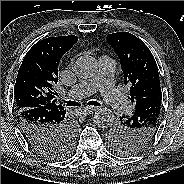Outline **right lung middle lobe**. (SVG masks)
Returning <instances> with one entry per match:
<instances>
[{"label": "right lung middle lobe", "instance_id": "right-lung-middle-lobe-1", "mask_svg": "<svg viewBox=\"0 0 184 184\" xmlns=\"http://www.w3.org/2000/svg\"><path fill=\"white\" fill-rule=\"evenodd\" d=\"M74 127L67 130L64 140L59 147L49 148L39 151L40 154L47 158H63L69 155L74 144Z\"/></svg>", "mask_w": 184, "mask_h": 184}]
</instances>
